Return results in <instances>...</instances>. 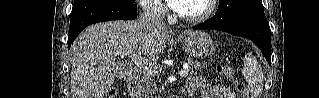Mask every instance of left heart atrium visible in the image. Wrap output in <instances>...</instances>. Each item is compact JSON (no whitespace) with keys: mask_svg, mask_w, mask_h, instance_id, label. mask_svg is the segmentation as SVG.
<instances>
[{"mask_svg":"<svg viewBox=\"0 0 319 98\" xmlns=\"http://www.w3.org/2000/svg\"><path fill=\"white\" fill-rule=\"evenodd\" d=\"M188 0H168L169 7L174 11L181 12L186 8Z\"/></svg>","mask_w":319,"mask_h":98,"instance_id":"39dd6f15","label":"left heart atrium"}]
</instances>
